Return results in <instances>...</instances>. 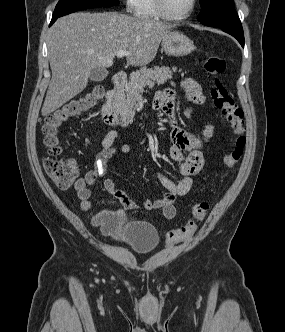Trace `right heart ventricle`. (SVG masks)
<instances>
[{
	"label": "right heart ventricle",
	"mask_w": 285,
	"mask_h": 332,
	"mask_svg": "<svg viewBox=\"0 0 285 332\" xmlns=\"http://www.w3.org/2000/svg\"><path fill=\"white\" fill-rule=\"evenodd\" d=\"M134 15L143 20H160L162 17L157 11L155 0H135Z\"/></svg>",
	"instance_id": "e07e8e85"
}]
</instances>
